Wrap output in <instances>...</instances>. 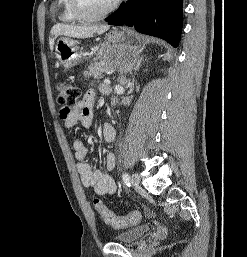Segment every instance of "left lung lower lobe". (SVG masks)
Wrapping results in <instances>:
<instances>
[{
  "instance_id": "left-lung-lower-lobe-1",
  "label": "left lung lower lobe",
  "mask_w": 247,
  "mask_h": 257,
  "mask_svg": "<svg viewBox=\"0 0 247 257\" xmlns=\"http://www.w3.org/2000/svg\"><path fill=\"white\" fill-rule=\"evenodd\" d=\"M183 0H129L108 18L111 25L126 24L143 34L179 45L182 32Z\"/></svg>"
}]
</instances>
